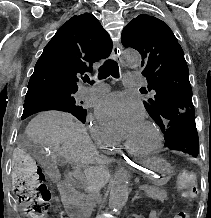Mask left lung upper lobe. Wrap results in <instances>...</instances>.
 <instances>
[{"label": "left lung upper lobe", "mask_w": 211, "mask_h": 218, "mask_svg": "<svg viewBox=\"0 0 211 218\" xmlns=\"http://www.w3.org/2000/svg\"><path fill=\"white\" fill-rule=\"evenodd\" d=\"M121 40L124 47L134 48L142 56V75L153 92L143 103L164 134L166 146L197 157L199 141L189 70L172 30L162 20L141 14L123 29ZM140 91L147 93L144 87Z\"/></svg>", "instance_id": "1"}]
</instances>
